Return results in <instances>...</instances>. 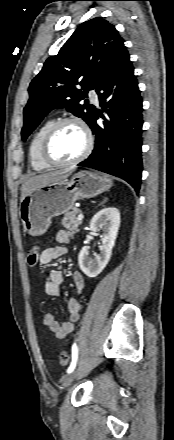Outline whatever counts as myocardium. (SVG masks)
Segmentation results:
<instances>
[{
    "mask_svg": "<svg viewBox=\"0 0 174 440\" xmlns=\"http://www.w3.org/2000/svg\"><path fill=\"white\" fill-rule=\"evenodd\" d=\"M67 123H75L78 126H80V128L82 129V131L85 135V140H86L85 146H84L82 152L76 158L69 160V161H65V162H59V161L54 160L51 157L50 144H51V141H52L55 133L57 132V130L62 125L67 124ZM93 145H94V137H93L92 131H91L90 127L87 125V123L83 119H81L80 117L67 116V117H63V118L55 121L51 125V127L48 129L47 133L44 136L43 142H42L41 156H42L43 161L52 167L72 166V165L80 163L85 158H87L93 149Z\"/></svg>",
    "mask_w": 174,
    "mask_h": 440,
    "instance_id": "1",
    "label": "myocardium"
}]
</instances>
